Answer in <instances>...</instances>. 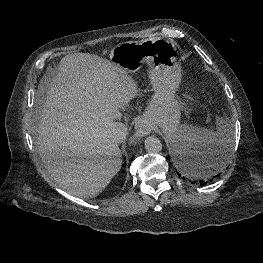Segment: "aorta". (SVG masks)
<instances>
[{
  "instance_id": "aorta-1",
  "label": "aorta",
  "mask_w": 263,
  "mask_h": 263,
  "mask_svg": "<svg viewBox=\"0 0 263 263\" xmlns=\"http://www.w3.org/2000/svg\"><path fill=\"white\" fill-rule=\"evenodd\" d=\"M144 146L147 152L156 154L162 150V143L159 138L155 136H149L144 141Z\"/></svg>"
}]
</instances>
